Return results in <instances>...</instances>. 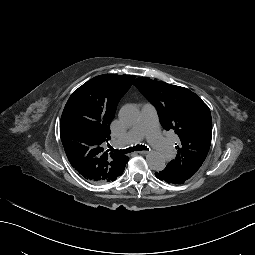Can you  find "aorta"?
I'll return each mask as SVG.
<instances>
[{
	"mask_svg": "<svg viewBox=\"0 0 255 255\" xmlns=\"http://www.w3.org/2000/svg\"><path fill=\"white\" fill-rule=\"evenodd\" d=\"M140 112L133 104L124 105L119 111L120 120L126 125L137 123ZM148 166L155 171H162L165 168V158L157 151H150L146 156Z\"/></svg>",
	"mask_w": 255,
	"mask_h": 255,
	"instance_id": "aorta-1",
	"label": "aorta"
}]
</instances>
